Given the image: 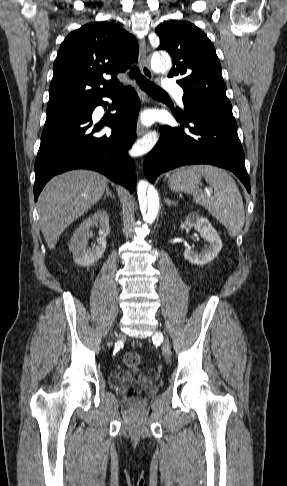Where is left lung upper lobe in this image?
I'll return each mask as SVG.
<instances>
[{"label":"left lung upper lobe","mask_w":287,"mask_h":486,"mask_svg":"<svg viewBox=\"0 0 287 486\" xmlns=\"http://www.w3.org/2000/svg\"><path fill=\"white\" fill-rule=\"evenodd\" d=\"M160 38L158 50H166L173 58L168 77H178L183 88L185 113H199L223 123L237 126L232 106L226 96V85L216 51L206 34L188 21L171 20L156 30Z\"/></svg>","instance_id":"obj_1"}]
</instances>
